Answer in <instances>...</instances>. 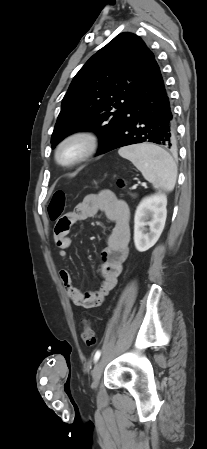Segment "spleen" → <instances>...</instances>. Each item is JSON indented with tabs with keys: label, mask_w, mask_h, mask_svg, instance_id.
Masks as SVG:
<instances>
[{
	"label": "spleen",
	"mask_w": 207,
	"mask_h": 449,
	"mask_svg": "<svg viewBox=\"0 0 207 449\" xmlns=\"http://www.w3.org/2000/svg\"><path fill=\"white\" fill-rule=\"evenodd\" d=\"M118 153L121 157L130 160L155 189L167 192L174 189L177 166L171 155L161 147L143 143L123 147Z\"/></svg>",
	"instance_id": "obj_1"
}]
</instances>
